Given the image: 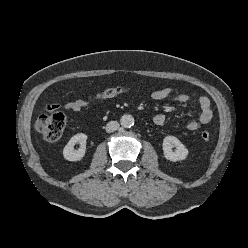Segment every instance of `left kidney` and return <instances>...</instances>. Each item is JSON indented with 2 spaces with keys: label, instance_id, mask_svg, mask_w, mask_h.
<instances>
[{
  "label": "left kidney",
  "instance_id": "5707ae66",
  "mask_svg": "<svg viewBox=\"0 0 248 248\" xmlns=\"http://www.w3.org/2000/svg\"><path fill=\"white\" fill-rule=\"evenodd\" d=\"M162 147L164 157L173 162L184 160L188 155V149L174 136H166ZM174 147L175 151L172 150Z\"/></svg>",
  "mask_w": 248,
  "mask_h": 248
}]
</instances>
